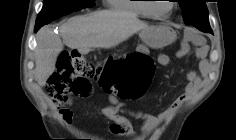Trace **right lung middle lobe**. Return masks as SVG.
Returning a JSON list of instances; mask_svg holds the SVG:
<instances>
[{
	"mask_svg": "<svg viewBox=\"0 0 236 140\" xmlns=\"http://www.w3.org/2000/svg\"><path fill=\"white\" fill-rule=\"evenodd\" d=\"M94 5V0H44L43 8L37 17L35 27H42L64 15Z\"/></svg>",
	"mask_w": 236,
	"mask_h": 140,
	"instance_id": "1",
	"label": "right lung middle lobe"
}]
</instances>
